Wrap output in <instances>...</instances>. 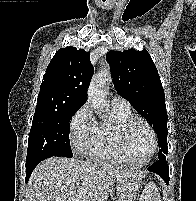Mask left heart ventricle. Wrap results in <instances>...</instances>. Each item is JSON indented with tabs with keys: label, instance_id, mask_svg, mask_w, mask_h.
I'll return each instance as SVG.
<instances>
[{
	"label": "left heart ventricle",
	"instance_id": "b2bd125f",
	"mask_svg": "<svg viewBox=\"0 0 196 201\" xmlns=\"http://www.w3.org/2000/svg\"><path fill=\"white\" fill-rule=\"evenodd\" d=\"M128 148L133 161L141 162L150 154L151 135L143 124H135L128 134Z\"/></svg>",
	"mask_w": 196,
	"mask_h": 201
}]
</instances>
